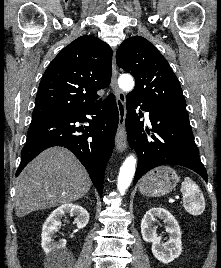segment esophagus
<instances>
[{
    "label": "esophagus",
    "mask_w": 221,
    "mask_h": 268,
    "mask_svg": "<svg viewBox=\"0 0 221 268\" xmlns=\"http://www.w3.org/2000/svg\"><path fill=\"white\" fill-rule=\"evenodd\" d=\"M117 74L118 72L116 68L115 56L113 55L111 87L116 96L117 108L119 112V125L115 137V145L118 151L123 152L127 147V134L125 129L127 108L125 94L120 90L117 84Z\"/></svg>",
    "instance_id": "34e87169"
}]
</instances>
